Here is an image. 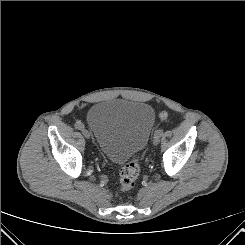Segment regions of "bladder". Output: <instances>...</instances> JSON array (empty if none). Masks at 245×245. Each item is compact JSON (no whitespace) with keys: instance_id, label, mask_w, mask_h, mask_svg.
<instances>
[{"instance_id":"1","label":"bladder","mask_w":245,"mask_h":245,"mask_svg":"<svg viewBox=\"0 0 245 245\" xmlns=\"http://www.w3.org/2000/svg\"><path fill=\"white\" fill-rule=\"evenodd\" d=\"M86 121L100 152L110 161L121 163L146 146L155 111L143 102L112 99L93 105Z\"/></svg>"}]
</instances>
